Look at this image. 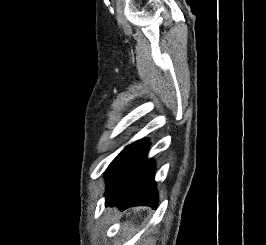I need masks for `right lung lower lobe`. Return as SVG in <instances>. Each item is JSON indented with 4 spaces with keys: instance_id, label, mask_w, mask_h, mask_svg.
<instances>
[{
    "instance_id": "98d812e1",
    "label": "right lung lower lobe",
    "mask_w": 266,
    "mask_h": 245,
    "mask_svg": "<svg viewBox=\"0 0 266 245\" xmlns=\"http://www.w3.org/2000/svg\"><path fill=\"white\" fill-rule=\"evenodd\" d=\"M149 143L139 140L126 147L110 164L106 174V205L121 210L132 206L157 207L154 162L146 159Z\"/></svg>"
}]
</instances>
